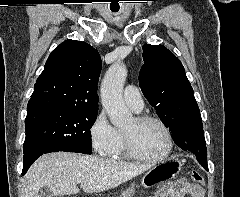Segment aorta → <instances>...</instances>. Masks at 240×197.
<instances>
[{
	"instance_id": "762f6f07",
	"label": "aorta",
	"mask_w": 240,
	"mask_h": 197,
	"mask_svg": "<svg viewBox=\"0 0 240 197\" xmlns=\"http://www.w3.org/2000/svg\"><path fill=\"white\" fill-rule=\"evenodd\" d=\"M127 69L121 62L112 64L101 83V100L111 123L122 128L130 123L133 116L123 100V86Z\"/></svg>"
}]
</instances>
